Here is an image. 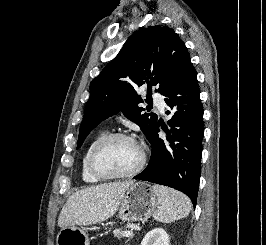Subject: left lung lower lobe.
<instances>
[{"label":"left lung lower lobe","mask_w":266,"mask_h":245,"mask_svg":"<svg viewBox=\"0 0 266 245\" xmlns=\"http://www.w3.org/2000/svg\"><path fill=\"white\" fill-rule=\"evenodd\" d=\"M163 95L172 110L171 119L167 122L170 130L164 129L168 136L165 140L159 138L161 124L156 122L148 137L151 159L147 168L134 179L175 188L188 195L195 206L204 125L197 73L190 57L183 61ZM166 113L170 114V111Z\"/></svg>","instance_id":"left-lung-lower-lobe-1"}]
</instances>
